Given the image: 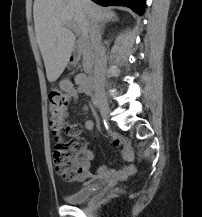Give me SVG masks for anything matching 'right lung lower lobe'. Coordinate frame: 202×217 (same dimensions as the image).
Listing matches in <instances>:
<instances>
[{
  "instance_id": "98d812e1",
  "label": "right lung lower lobe",
  "mask_w": 202,
  "mask_h": 217,
  "mask_svg": "<svg viewBox=\"0 0 202 217\" xmlns=\"http://www.w3.org/2000/svg\"><path fill=\"white\" fill-rule=\"evenodd\" d=\"M103 6L119 5L131 8L139 15L143 14L145 0H92Z\"/></svg>"
}]
</instances>
